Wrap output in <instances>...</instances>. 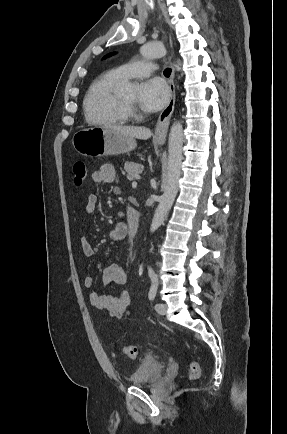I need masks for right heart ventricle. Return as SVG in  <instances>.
Masks as SVG:
<instances>
[{
	"label": "right heart ventricle",
	"mask_w": 287,
	"mask_h": 434,
	"mask_svg": "<svg viewBox=\"0 0 287 434\" xmlns=\"http://www.w3.org/2000/svg\"><path fill=\"white\" fill-rule=\"evenodd\" d=\"M124 81L117 69H111L91 83L83 100L84 115L89 123L123 124L128 121L129 114L118 93Z\"/></svg>",
	"instance_id": "obj_1"
}]
</instances>
